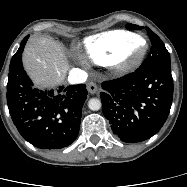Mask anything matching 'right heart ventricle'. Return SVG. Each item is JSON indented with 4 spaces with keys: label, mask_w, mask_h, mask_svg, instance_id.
I'll use <instances>...</instances> for the list:
<instances>
[{
    "label": "right heart ventricle",
    "mask_w": 187,
    "mask_h": 187,
    "mask_svg": "<svg viewBox=\"0 0 187 187\" xmlns=\"http://www.w3.org/2000/svg\"><path fill=\"white\" fill-rule=\"evenodd\" d=\"M142 40V37L135 33L112 30L86 38L84 49L92 61L99 65L109 66Z\"/></svg>",
    "instance_id": "1"
}]
</instances>
